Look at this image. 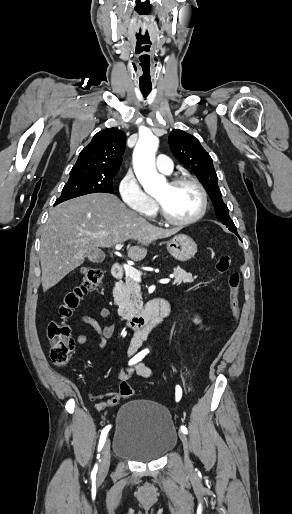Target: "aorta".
<instances>
[{"mask_svg":"<svg viewBox=\"0 0 292 514\" xmlns=\"http://www.w3.org/2000/svg\"><path fill=\"white\" fill-rule=\"evenodd\" d=\"M158 148V138L153 134L140 136L134 150V172L145 192L154 196L160 186H165L166 178L160 176L155 168V152Z\"/></svg>","mask_w":292,"mask_h":514,"instance_id":"aorta-1","label":"aorta"}]
</instances>
